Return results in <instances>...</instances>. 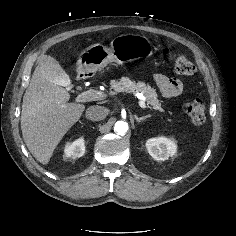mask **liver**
Returning a JSON list of instances; mask_svg holds the SVG:
<instances>
[{"label":"liver","instance_id":"obj_1","mask_svg":"<svg viewBox=\"0 0 236 236\" xmlns=\"http://www.w3.org/2000/svg\"><path fill=\"white\" fill-rule=\"evenodd\" d=\"M69 99L68 91L47 77L40 60L23 97L21 130L27 148L43 165L85 110Z\"/></svg>","mask_w":236,"mask_h":236}]
</instances>
